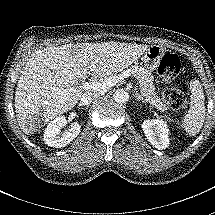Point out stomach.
Masks as SVG:
<instances>
[{
    "instance_id": "0dacf381",
    "label": "stomach",
    "mask_w": 215,
    "mask_h": 215,
    "mask_svg": "<svg viewBox=\"0 0 215 215\" xmlns=\"http://www.w3.org/2000/svg\"><path fill=\"white\" fill-rule=\"evenodd\" d=\"M165 54V49L160 45L148 46L142 54V64L147 69L154 71L160 66Z\"/></svg>"
}]
</instances>
